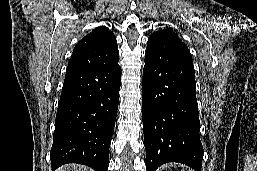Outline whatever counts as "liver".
Here are the masks:
<instances>
[{
    "label": "liver",
    "mask_w": 257,
    "mask_h": 171,
    "mask_svg": "<svg viewBox=\"0 0 257 171\" xmlns=\"http://www.w3.org/2000/svg\"><path fill=\"white\" fill-rule=\"evenodd\" d=\"M57 171H88V170L84 166L70 164V165L64 166L62 169Z\"/></svg>",
    "instance_id": "liver-1"
}]
</instances>
